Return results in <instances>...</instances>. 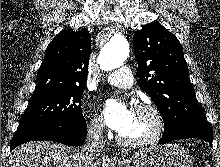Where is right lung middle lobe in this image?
Instances as JSON below:
<instances>
[{
  "instance_id": "dd1d6c3e",
  "label": "right lung middle lobe",
  "mask_w": 220,
  "mask_h": 167,
  "mask_svg": "<svg viewBox=\"0 0 220 167\" xmlns=\"http://www.w3.org/2000/svg\"><path fill=\"white\" fill-rule=\"evenodd\" d=\"M84 87H69L52 94L31 98L17 130L45 125L68 126L83 121L80 100Z\"/></svg>"
}]
</instances>
